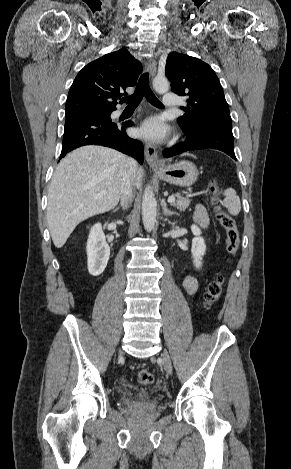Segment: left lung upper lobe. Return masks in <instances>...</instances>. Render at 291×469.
<instances>
[{
	"label": "left lung upper lobe",
	"mask_w": 291,
	"mask_h": 469,
	"mask_svg": "<svg viewBox=\"0 0 291 469\" xmlns=\"http://www.w3.org/2000/svg\"><path fill=\"white\" fill-rule=\"evenodd\" d=\"M166 76L172 90L188 96L189 108L178 118L186 132L218 127L232 130V120L223 89L213 69L205 62L172 52L167 57Z\"/></svg>",
	"instance_id": "1"
}]
</instances>
